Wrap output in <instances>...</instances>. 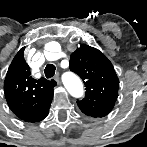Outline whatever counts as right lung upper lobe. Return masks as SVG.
Returning <instances> with one entry per match:
<instances>
[{"label": "right lung upper lobe", "mask_w": 147, "mask_h": 147, "mask_svg": "<svg viewBox=\"0 0 147 147\" xmlns=\"http://www.w3.org/2000/svg\"><path fill=\"white\" fill-rule=\"evenodd\" d=\"M22 48L13 59L4 82L7 103L12 112L26 122H39L49 112L53 98L54 80L30 76Z\"/></svg>", "instance_id": "1"}]
</instances>
